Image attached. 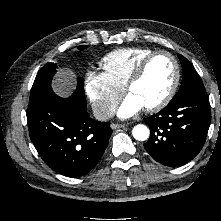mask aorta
I'll return each instance as SVG.
<instances>
[{
    "instance_id": "1",
    "label": "aorta",
    "mask_w": 221,
    "mask_h": 221,
    "mask_svg": "<svg viewBox=\"0 0 221 221\" xmlns=\"http://www.w3.org/2000/svg\"><path fill=\"white\" fill-rule=\"evenodd\" d=\"M133 137L138 141H145L149 138L150 130L143 124H138L132 129Z\"/></svg>"
}]
</instances>
